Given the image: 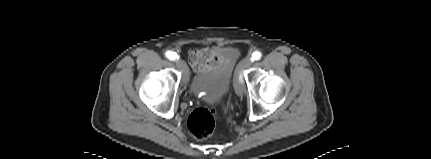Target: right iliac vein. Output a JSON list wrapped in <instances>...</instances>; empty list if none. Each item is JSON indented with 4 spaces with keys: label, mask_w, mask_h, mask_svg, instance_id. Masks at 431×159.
I'll list each match as a JSON object with an SVG mask.
<instances>
[{
    "label": "right iliac vein",
    "mask_w": 431,
    "mask_h": 159,
    "mask_svg": "<svg viewBox=\"0 0 431 159\" xmlns=\"http://www.w3.org/2000/svg\"><path fill=\"white\" fill-rule=\"evenodd\" d=\"M176 65L179 69L183 71L182 85L186 86L189 81V72L186 63L182 59H177Z\"/></svg>",
    "instance_id": "obj_1"
}]
</instances>
